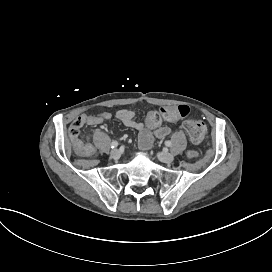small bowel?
<instances>
[{"label":"small bowel","mask_w":272,"mask_h":272,"mask_svg":"<svg viewBox=\"0 0 272 272\" xmlns=\"http://www.w3.org/2000/svg\"><path fill=\"white\" fill-rule=\"evenodd\" d=\"M172 109L173 107H164V108H161L160 110V114L163 117V119L169 123H175L179 120V116L175 114L172 111ZM150 113H156V112H150ZM135 116H136L135 112L128 109H121L116 112V118L118 120H120L125 126L138 131L139 145L141 148L146 149L149 147L151 139H152L151 130L156 126H149L147 123L145 125L144 123L137 121L135 119ZM111 117H112V114L110 112L104 111V112H100L93 115L81 114L77 116L74 121H80L84 125L95 126V125L102 124L103 122L110 119ZM170 133H171V128L169 126H159L154 131V135L158 139H164ZM71 140L75 145L82 143L80 142L78 138H71Z\"/></svg>","instance_id":"c3829d8e"}]
</instances>
